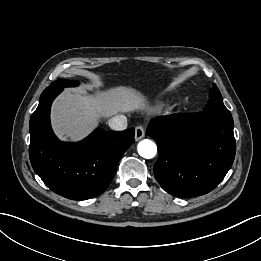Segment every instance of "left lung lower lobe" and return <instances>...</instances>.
Here are the masks:
<instances>
[{
	"mask_svg": "<svg viewBox=\"0 0 261 261\" xmlns=\"http://www.w3.org/2000/svg\"><path fill=\"white\" fill-rule=\"evenodd\" d=\"M146 134L158 145L155 178L166 192L179 198L212 191L235 158L231 115L202 111L160 117L149 123Z\"/></svg>",
	"mask_w": 261,
	"mask_h": 261,
	"instance_id": "1",
	"label": "left lung lower lobe"
}]
</instances>
